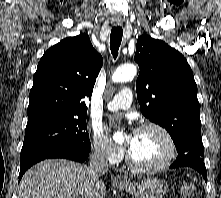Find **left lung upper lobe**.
Returning <instances> with one entry per match:
<instances>
[{
	"label": "left lung upper lobe",
	"instance_id": "1",
	"mask_svg": "<svg viewBox=\"0 0 221 198\" xmlns=\"http://www.w3.org/2000/svg\"><path fill=\"white\" fill-rule=\"evenodd\" d=\"M134 60L140 68L136 91L143 115L169 132L179 156L204 157L197 85L187 60L147 35L137 40Z\"/></svg>",
	"mask_w": 221,
	"mask_h": 198
}]
</instances>
